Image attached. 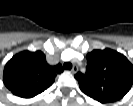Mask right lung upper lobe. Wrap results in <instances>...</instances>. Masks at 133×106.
Segmentation results:
<instances>
[{
	"instance_id": "obj_1",
	"label": "right lung upper lobe",
	"mask_w": 133,
	"mask_h": 106,
	"mask_svg": "<svg viewBox=\"0 0 133 106\" xmlns=\"http://www.w3.org/2000/svg\"><path fill=\"white\" fill-rule=\"evenodd\" d=\"M63 72L61 64L50 66L41 51H23L5 65L3 82L16 96L31 98L49 88Z\"/></svg>"
}]
</instances>
